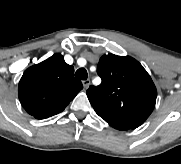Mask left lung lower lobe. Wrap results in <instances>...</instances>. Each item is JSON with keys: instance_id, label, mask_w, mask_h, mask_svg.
I'll return each mask as SVG.
<instances>
[{"instance_id": "obj_1", "label": "left lung lower lobe", "mask_w": 181, "mask_h": 164, "mask_svg": "<svg viewBox=\"0 0 181 164\" xmlns=\"http://www.w3.org/2000/svg\"><path fill=\"white\" fill-rule=\"evenodd\" d=\"M112 127H114L115 129H118V130H128V129H132L130 127H127V126H122V125H117V124H111Z\"/></svg>"}]
</instances>
